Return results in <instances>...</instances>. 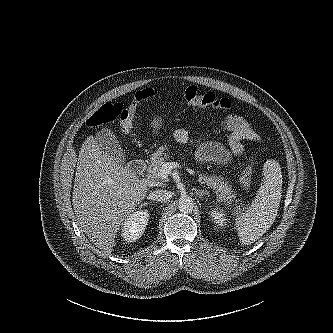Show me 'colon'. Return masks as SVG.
<instances>
[{
  "label": "colon",
  "mask_w": 333,
  "mask_h": 333,
  "mask_svg": "<svg viewBox=\"0 0 333 333\" xmlns=\"http://www.w3.org/2000/svg\"><path fill=\"white\" fill-rule=\"evenodd\" d=\"M155 92L151 88L138 91L130 105L120 103H106L100 107L88 120L90 129H98L105 126L116 125L124 133L130 132L134 126L137 107L142 102L153 98ZM184 101L191 106L209 109H228L231 101L227 98H219L210 91L201 90L195 86H189L183 91ZM252 161L248 160L242 169L241 183L248 188L251 183Z\"/></svg>",
  "instance_id": "obj_1"
}]
</instances>
